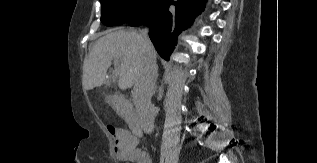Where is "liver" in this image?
I'll list each match as a JSON object with an SVG mask.
<instances>
[{
	"label": "liver",
	"instance_id": "6515ba94",
	"mask_svg": "<svg viewBox=\"0 0 317 163\" xmlns=\"http://www.w3.org/2000/svg\"><path fill=\"white\" fill-rule=\"evenodd\" d=\"M142 50V35L137 31L116 30L100 37L96 41L84 68V88L90 90L101 86L113 59H117L121 63L119 87L122 90L131 88L136 82L142 65Z\"/></svg>",
	"mask_w": 317,
	"mask_h": 163
}]
</instances>
